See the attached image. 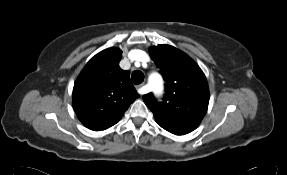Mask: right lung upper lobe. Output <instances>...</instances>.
<instances>
[{"label": "right lung upper lobe", "mask_w": 287, "mask_h": 175, "mask_svg": "<svg viewBox=\"0 0 287 175\" xmlns=\"http://www.w3.org/2000/svg\"><path fill=\"white\" fill-rule=\"evenodd\" d=\"M122 51L106 49L96 54L81 71L73 88V107L87 128L100 131L116 124L139 97L130 72L119 67Z\"/></svg>", "instance_id": "right-lung-upper-lobe-1"}]
</instances>
